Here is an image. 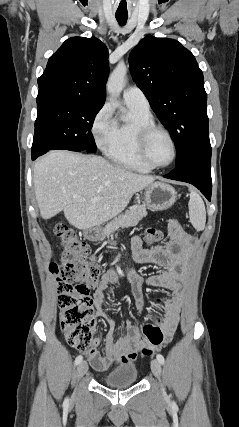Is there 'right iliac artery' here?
I'll list each match as a JSON object with an SVG mask.
<instances>
[{
	"mask_svg": "<svg viewBox=\"0 0 239 427\" xmlns=\"http://www.w3.org/2000/svg\"><path fill=\"white\" fill-rule=\"evenodd\" d=\"M82 359H83V357L81 355L77 356L76 359H75V364L76 365L79 364L82 361ZM68 403H69V400H68V398H66L65 401H64V405L67 406Z\"/></svg>",
	"mask_w": 239,
	"mask_h": 427,
	"instance_id": "right-iliac-artery-1",
	"label": "right iliac artery"
}]
</instances>
